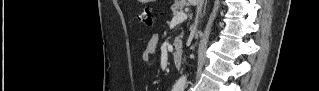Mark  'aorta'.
<instances>
[{
    "label": "aorta",
    "mask_w": 319,
    "mask_h": 91,
    "mask_svg": "<svg viewBox=\"0 0 319 91\" xmlns=\"http://www.w3.org/2000/svg\"><path fill=\"white\" fill-rule=\"evenodd\" d=\"M186 85V76H181L176 82L174 88L178 90H183Z\"/></svg>",
    "instance_id": "aorta-1"
}]
</instances>
